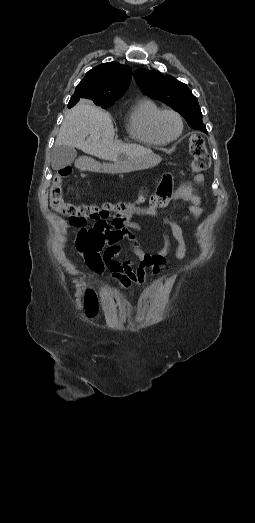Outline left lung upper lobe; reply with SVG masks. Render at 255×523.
<instances>
[{
    "label": "left lung upper lobe",
    "instance_id": "obj_1",
    "mask_svg": "<svg viewBox=\"0 0 255 523\" xmlns=\"http://www.w3.org/2000/svg\"><path fill=\"white\" fill-rule=\"evenodd\" d=\"M134 76L145 95L160 100L179 112L191 128L207 133L197 98L184 83L147 69L136 70Z\"/></svg>",
    "mask_w": 255,
    "mask_h": 523
}]
</instances>
